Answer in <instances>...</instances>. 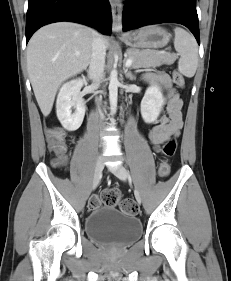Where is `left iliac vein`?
I'll list each match as a JSON object with an SVG mask.
<instances>
[{
  "label": "left iliac vein",
  "instance_id": "obj_1",
  "mask_svg": "<svg viewBox=\"0 0 231 281\" xmlns=\"http://www.w3.org/2000/svg\"><path fill=\"white\" fill-rule=\"evenodd\" d=\"M112 172L122 181H126L128 179V172L122 165L113 167ZM135 198L137 202L140 204L142 198L138 190H135Z\"/></svg>",
  "mask_w": 231,
  "mask_h": 281
}]
</instances>
